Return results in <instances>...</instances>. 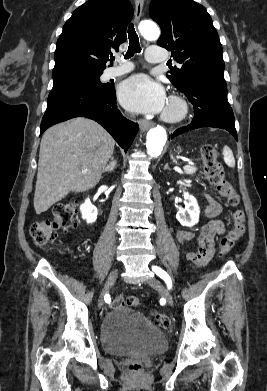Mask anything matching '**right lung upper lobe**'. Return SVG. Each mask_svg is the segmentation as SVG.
Returning a JSON list of instances; mask_svg holds the SVG:
<instances>
[{
    "label": "right lung upper lobe",
    "mask_w": 267,
    "mask_h": 391,
    "mask_svg": "<svg viewBox=\"0 0 267 391\" xmlns=\"http://www.w3.org/2000/svg\"><path fill=\"white\" fill-rule=\"evenodd\" d=\"M133 16L128 0H89L65 23L57 40L52 76L101 72L110 49L118 50Z\"/></svg>",
    "instance_id": "1"
}]
</instances>
